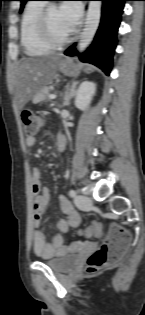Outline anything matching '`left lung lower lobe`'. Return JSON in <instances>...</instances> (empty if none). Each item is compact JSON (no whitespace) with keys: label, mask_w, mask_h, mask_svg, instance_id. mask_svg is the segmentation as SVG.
I'll return each instance as SVG.
<instances>
[{"label":"left lung lower lobe","mask_w":145,"mask_h":315,"mask_svg":"<svg viewBox=\"0 0 145 315\" xmlns=\"http://www.w3.org/2000/svg\"><path fill=\"white\" fill-rule=\"evenodd\" d=\"M102 1V16L99 29L92 45L86 52L79 55L83 62L92 63L109 75L112 67V57L117 45V31L121 21L124 2L129 0H86ZM76 44L70 46L65 55H78Z\"/></svg>","instance_id":"obj_1"}]
</instances>
